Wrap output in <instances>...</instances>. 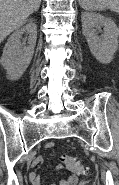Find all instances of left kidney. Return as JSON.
<instances>
[{"label":"left kidney","instance_id":"1","mask_svg":"<svg viewBox=\"0 0 119 185\" xmlns=\"http://www.w3.org/2000/svg\"><path fill=\"white\" fill-rule=\"evenodd\" d=\"M82 33L86 37L93 56L103 64L113 60L118 48L119 29L115 22L104 15L94 12H82ZM103 27V33L98 36V29Z\"/></svg>","mask_w":119,"mask_h":185}]
</instances>
